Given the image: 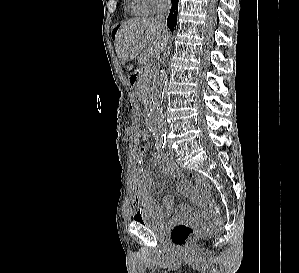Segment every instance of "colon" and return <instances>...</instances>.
<instances>
[{"label": "colon", "mask_w": 299, "mask_h": 273, "mask_svg": "<svg viewBox=\"0 0 299 273\" xmlns=\"http://www.w3.org/2000/svg\"><path fill=\"white\" fill-rule=\"evenodd\" d=\"M144 149L150 148V136L144 133L141 136ZM199 183L203 188H205V183L203 180L199 179ZM208 211L211 215V219L204 223L190 224L181 222L176 224L170 233L171 241L174 245L178 247H184L188 245L193 239L206 235L214 230L219 225V221L216 219L219 213V207L214 200L208 201Z\"/></svg>", "instance_id": "colon-1"}]
</instances>
